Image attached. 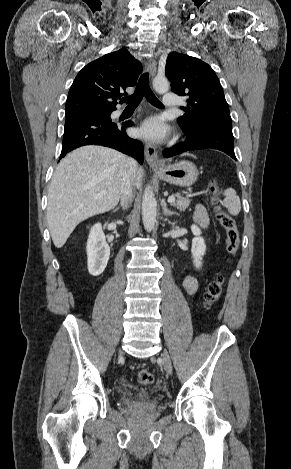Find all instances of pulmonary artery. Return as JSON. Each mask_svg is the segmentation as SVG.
<instances>
[{
  "label": "pulmonary artery",
  "mask_w": 291,
  "mask_h": 469,
  "mask_svg": "<svg viewBox=\"0 0 291 469\" xmlns=\"http://www.w3.org/2000/svg\"><path fill=\"white\" fill-rule=\"evenodd\" d=\"M163 104L165 107H175L179 104V100L176 94L174 93H166L163 97Z\"/></svg>",
  "instance_id": "obj_1"
}]
</instances>
